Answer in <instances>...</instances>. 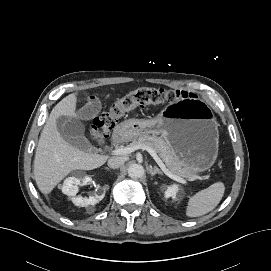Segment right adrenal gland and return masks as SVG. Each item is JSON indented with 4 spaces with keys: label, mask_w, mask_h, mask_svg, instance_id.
Instances as JSON below:
<instances>
[{
    "label": "right adrenal gland",
    "mask_w": 271,
    "mask_h": 271,
    "mask_svg": "<svg viewBox=\"0 0 271 271\" xmlns=\"http://www.w3.org/2000/svg\"><path fill=\"white\" fill-rule=\"evenodd\" d=\"M106 170L111 171L108 167H105Z\"/></svg>",
    "instance_id": "obj_1"
}]
</instances>
